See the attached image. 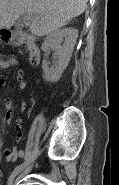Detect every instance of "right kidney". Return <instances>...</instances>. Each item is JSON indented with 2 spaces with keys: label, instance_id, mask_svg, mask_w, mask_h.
I'll return each instance as SVG.
<instances>
[{
  "label": "right kidney",
  "instance_id": "ca27d5eb",
  "mask_svg": "<svg viewBox=\"0 0 119 185\" xmlns=\"http://www.w3.org/2000/svg\"><path fill=\"white\" fill-rule=\"evenodd\" d=\"M77 37L78 31L74 28L56 30L46 37L41 46V49L45 52V59L42 62L45 81L53 83L60 79L63 71L68 66ZM50 50L56 53L51 66L46 60Z\"/></svg>",
  "mask_w": 119,
  "mask_h": 185
}]
</instances>
